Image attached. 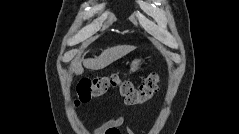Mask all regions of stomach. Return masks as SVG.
<instances>
[{
    "mask_svg": "<svg viewBox=\"0 0 239 134\" xmlns=\"http://www.w3.org/2000/svg\"><path fill=\"white\" fill-rule=\"evenodd\" d=\"M142 64V59H134L130 64V71L135 72L140 68Z\"/></svg>",
    "mask_w": 239,
    "mask_h": 134,
    "instance_id": "obj_1",
    "label": "stomach"
}]
</instances>
